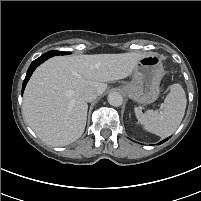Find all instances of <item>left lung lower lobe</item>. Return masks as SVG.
I'll return each mask as SVG.
<instances>
[{
    "instance_id": "obj_1",
    "label": "left lung lower lobe",
    "mask_w": 201,
    "mask_h": 201,
    "mask_svg": "<svg viewBox=\"0 0 201 201\" xmlns=\"http://www.w3.org/2000/svg\"><path fill=\"white\" fill-rule=\"evenodd\" d=\"M169 138H170V137H168V138H166L165 140L161 141V142L159 143V145L162 144V143H164L165 141H167Z\"/></svg>"
}]
</instances>
